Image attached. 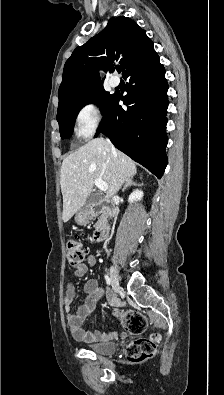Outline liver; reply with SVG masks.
Listing matches in <instances>:
<instances>
[{"label":"liver","instance_id":"1","mask_svg":"<svg viewBox=\"0 0 224 395\" xmlns=\"http://www.w3.org/2000/svg\"><path fill=\"white\" fill-rule=\"evenodd\" d=\"M136 173V163L108 141L103 138L88 141L62 162L63 221L68 222L85 205L95 179L108 184L106 199H110Z\"/></svg>","mask_w":224,"mask_h":395}]
</instances>
